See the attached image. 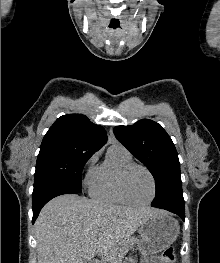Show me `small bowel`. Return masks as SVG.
I'll use <instances>...</instances> for the list:
<instances>
[{
    "label": "small bowel",
    "instance_id": "small-bowel-1",
    "mask_svg": "<svg viewBox=\"0 0 220 263\" xmlns=\"http://www.w3.org/2000/svg\"><path fill=\"white\" fill-rule=\"evenodd\" d=\"M145 263H163V261L159 257L153 256L149 258Z\"/></svg>",
    "mask_w": 220,
    "mask_h": 263
}]
</instances>
